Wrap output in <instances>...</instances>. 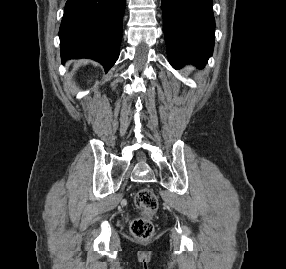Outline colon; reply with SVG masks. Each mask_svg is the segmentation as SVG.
I'll return each instance as SVG.
<instances>
[{"instance_id": "colon-1", "label": "colon", "mask_w": 286, "mask_h": 269, "mask_svg": "<svg viewBox=\"0 0 286 269\" xmlns=\"http://www.w3.org/2000/svg\"><path fill=\"white\" fill-rule=\"evenodd\" d=\"M135 203L141 214L131 222V233L137 239H149L154 233L152 219L158 209V199L152 190L143 188L136 193Z\"/></svg>"}]
</instances>
